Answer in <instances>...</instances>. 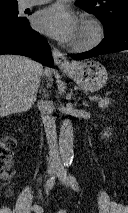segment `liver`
<instances>
[{"mask_svg":"<svg viewBox=\"0 0 128 213\" xmlns=\"http://www.w3.org/2000/svg\"><path fill=\"white\" fill-rule=\"evenodd\" d=\"M52 82L51 69L18 55H0V117L29 110L42 75Z\"/></svg>","mask_w":128,"mask_h":213,"instance_id":"liver-1","label":"liver"}]
</instances>
